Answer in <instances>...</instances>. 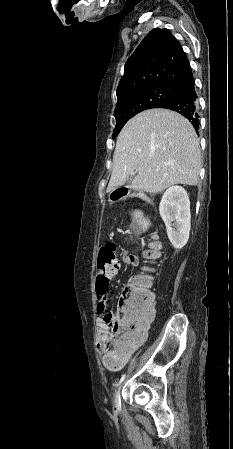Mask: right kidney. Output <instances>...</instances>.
Wrapping results in <instances>:
<instances>
[{"mask_svg":"<svg viewBox=\"0 0 233 449\" xmlns=\"http://www.w3.org/2000/svg\"><path fill=\"white\" fill-rule=\"evenodd\" d=\"M159 212L171 244L176 249L183 248L191 228L190 200L186 190L181 186L168 188L161 199Z\"/></svg>","mask_w":233,"mask_h":449,"instance_id":"obj_1","label":"right kidney"}]
</instances>
